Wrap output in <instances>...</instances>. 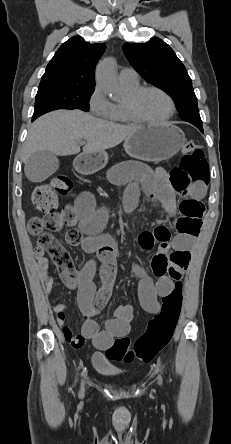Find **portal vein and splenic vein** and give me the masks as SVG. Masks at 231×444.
<instances>
[{
  "mask_svg": "<svg viewBox=\"0 0 231 444\" xmlns=\"http://www.w3.org/2000/svg\"><path fill=\"white\" fill-rule=\"evenodd\" d=\"M80 144H85V141L81 140V141H80Z\"/></svg>",
  "mask_w": 231,
  "mask_h": 444,
  "instance_id": "1",
  "label": "portal vein and splenic vein"
}]
</instances>
